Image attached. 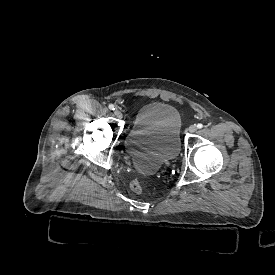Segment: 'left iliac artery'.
I'll use <instances>...</instances> for the list:
<instances>
[{"label":"left iliac artery","mask_w":275,"mask_h":275,"mask_svg":"<svg viewBox=\"0 0 275 275\" xmlns=\"http://www.w3.org/2000/svg\"><path fill=\"white\" fill-rule=\"evenodd\" d=\"M202 127H203V125L201 123L197 125V128H199V129Z\"/></svg>","instance_id":"44dca946"}]
</instances>
